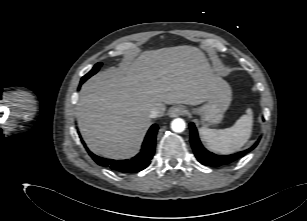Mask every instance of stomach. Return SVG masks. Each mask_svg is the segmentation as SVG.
<instances>
[{
	"label": "stomach",
	"instance_id": "1",
	"mask_svg": "<svg viewBox=\"0 0 307 221\" xmlns=\"http://www.w3.org/2000/svg\"><path fill=\"white\" fill-rule=\"evenodd\" d=\"M232 99V91L228 83L222 81L216 92L195 112L201 115L203 125L209 126L222 121Z\"/></svg>",
	"mask_w": 307,
	"mask_h": 221
}]
</instances>
